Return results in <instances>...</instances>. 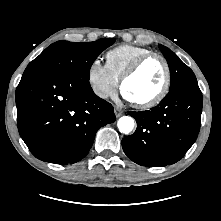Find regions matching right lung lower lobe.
Returning a JSON list of instances; mask_svg holds the SVG:
<instances>
[{"label":"right lung lower lobe","mask_w":221,"mask_h":221,"mask_svg":"<svg viewBox=\"0 0 221 221\" xmlns=\"http://www.w3.org/2000/svg\"><path fill=\"white\" fill-rule=\"evenodd\" d=\"M20 136L38 159L73 164L89 152L97 130L116 120L89 80L49 69L24 71L16 89Z\"/></svg>","instance_id":"1"}]
</instances>
